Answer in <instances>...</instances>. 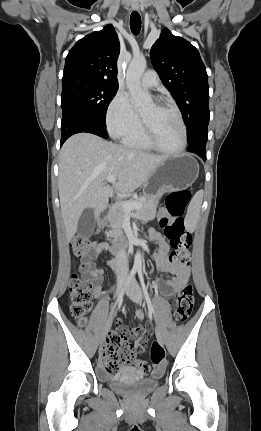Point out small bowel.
<instances>
[{"label": "small bowel", "mask_w": 261, "mask_h": 431, "mask_svg": "<svg viewBox=\"0 0 261 431\" xmlns=\"http://www.w3.org/2000/svg\"><path fill=\"white\" fill-rule=\"evenodd\" d=\"M147 236L151 241L156 243L161 249L160 253L154 254V260L156 262L158 270L161 273H168L172 275V277L167 279L166 281H162L158 279L156 281V284L159 286L160 293L162 295L171 297L176 292H178L188 281L190 276V267L178 266L169 260V244L161 236L160 233L155 231H149ZM105 251H106V246L104 244H98L94 248L91 257L99 256L103 254ZM106 262L108 264H112L111 260H107ZM88 271L90 275V280L93 283V294L95 297H100L101 283L105 272L103 269L93 267L90 262H89ZM118 316H121V313H118ZM137 316L140 320L144 319L143 313H138ZM126 333L136 337V341L133 346V358L129 363L134 365V362H139L140 364L141 361L135 358V354L143 352L146 349L147 341H148L147 329L144 327H136V328H131L126 330ZM102 353H103V349H102ZM141 374H146V373H141Z\"/></svg>", "instance_id": "1"}]
</instances>
